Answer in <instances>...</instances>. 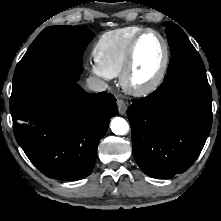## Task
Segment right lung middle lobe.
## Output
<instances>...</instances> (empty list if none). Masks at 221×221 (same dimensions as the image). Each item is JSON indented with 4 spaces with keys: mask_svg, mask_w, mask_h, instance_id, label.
Segmentation results:
<instances>
[{
    "mask_svg": "<svg viewBox=\"0 0 221 221\" xmlns=\"http://www.w3.org/2000/svg\"><path fill=\"white\" fill-rule=\"evenodd\" d=\"M93 37L94 33L83 26L45 28L16 67L10 110L26 105L59 85L61 73H81L83 53Z\"/></svg>",
    "mask_w": 221,
    "mask_h": 221,
    "instance_id": "right-lung-middle-lobe-1",
    "label": "right lung middle lobe"
}]
</instances>
